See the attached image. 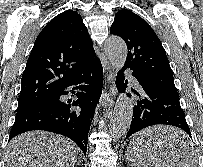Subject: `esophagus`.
I'll use <instances>...</instances> for the list:
<instances>
[{
	"instance_id": "esophagus-1",
	"label": "esophagus",
	"mask_w": 203,
	"mask_h": 167,
	"mask_svg": "<svg viewBox=\"0 0 203 167\" xmlns=\"http://www.w3.org/2000/svg\"><path fill=\"white\" fill-rule=\"evenodd\" d=\"M106 83L109 85V91H106L102 94L100 99V105L103 107H107L112 103L113 98L115 97V74L110 72L106 77Z\"/></svg>"
}]
</instances>
